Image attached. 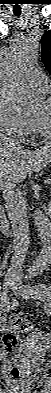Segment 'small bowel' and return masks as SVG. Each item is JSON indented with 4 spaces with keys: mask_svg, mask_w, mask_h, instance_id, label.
Instances as JSON below:
<instances>
[{
    "mask_svg": "<svg viewBox=\"0 0 51 393\" xmlns=\"http://www.w3.org/2000/svg\"><path fill=\"white\" fill-rule=\"evenodd\" d=\"M18 305V301L17 300H13L11 301V308H15ZM2 325H4V320H2ZM42 335H37V338H41Z\"/></svg>",
    "mask_w": 51,
    "mask_h": 393,
    "instance_id": "small-bowel-1",
    "label": "small bowel"
}]
</instances>
